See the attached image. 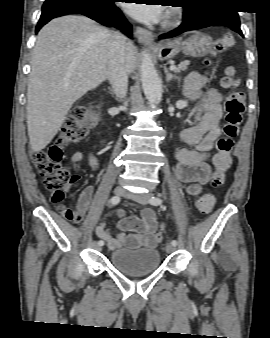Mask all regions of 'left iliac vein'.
I'll return each mask as SVG.
<instances>
[{
    "label": "left iliac vein",
    "mask_w": 270,
    "mask_h": 338,
    "mask_svg": "<svg viewBox=\"0 0 270 338\" xmlns=\"http://www.w3.org/2000/svg\"><path fill=\"white\" fill-rule=\"evenodd\" d=\"M124 196L132 199L140 204L146 205L149 203L150 198L152 197L151 193H143V194H131V193H124ZM175 250V246L172 244H168L166 246V252L172 253Z\"/></svg>",
    "instance_id": "left-iliac-vein-1"
}]
</instances>
